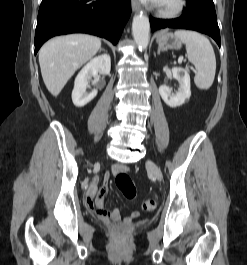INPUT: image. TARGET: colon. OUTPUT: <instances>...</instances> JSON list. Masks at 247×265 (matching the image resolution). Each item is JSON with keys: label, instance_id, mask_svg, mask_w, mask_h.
Returning a JSON list of instances; mask_svg holds the SVG:
<instances>
[{"label": "colon", "instance_id": "colon-1", "mask_svg": "<svg viewBox=\"0 0 247 265\" xmlns=\"http://www.w3.org/2000/svg\"><path fill=\"white\" fill-rule=\"evenodd\" d=\"M115 183L125 198L134 200L137 196V189L132 178L125 172H120L116 175ZM157 202L155 199H147L143 203L145 211H152L156 208Z\"/></svg>", "mask_w": 247, "mask_h": 265}]
</instances>
